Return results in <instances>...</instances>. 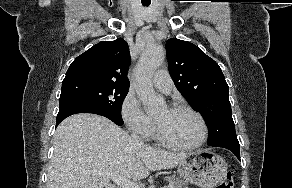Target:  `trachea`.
I'll return each mask as SVG.
<instances>
[{
    "label": "trachea",
    "mask_w": 292,
    "mask_h": 188,
    "mask_svg": "<svg viewBox=\"0 0 292 188\" xmlns=\"http://www.w3.org/2000/svg\"><path fill=\"white\" fill-rule=\"evenodd\" d=\"M142 5H143V6H149L150 3L142 2Z\"/></svg>",
    "instance_id": "3493384b"
}]
</instances>
